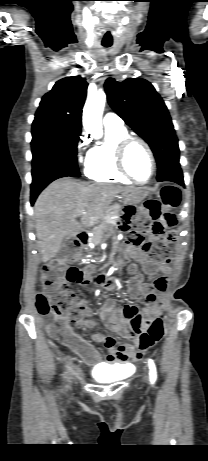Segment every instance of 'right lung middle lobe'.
<instances>
[{"label":"right lung middle lobe","mask_w":208,"mask_h":461,"mask_svg":"<svg viewBox=\"0 0 208 461\" xmlns=\"http://www.w3.org/2000/svg\"><path fill=\"white\" fill-rule=\"evenodd\" d=\"M80 135V129L60 122L34 119L31 141L33 179L52 170H65L79 177L76 155Z\"/></svg>","instance_id":"1"}]
</instances>
